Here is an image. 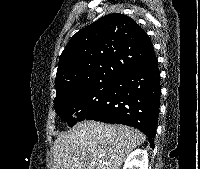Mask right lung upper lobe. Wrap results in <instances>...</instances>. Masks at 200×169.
Wrapping results in <instances>:
<instances>
[{
	"label": "right lung upper lobe",
	"instance_id": "cb5924a9",
	"mask_svg": "<svg viewBox=\"0 0 200 169\" xmlns=\"http://www.w3.org/2000/svg\"><path fill=\"white\" fill-rule=\"evenodd\" d=\"M156 60L149 36L132 18L106 15L77 32L66 45L59 59L55 100Z\"/></svg>",
	"mask_w": 200,
	"mask_h": 169
}]
</instances>
